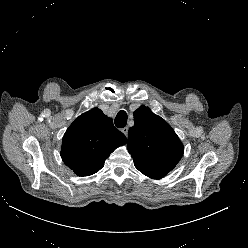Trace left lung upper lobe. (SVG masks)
Instances as JSON below:
<instances>
[{
    "instance_id": "1",
    "label": "left lung upper lobe",
    "mask_w": 248,
    "mask_h": 248,
    "mask_svg": "<svg viewBox=\"0 0 248 248\" xmlns=\"http://www.w3.org/2000/svg\"><path fill=\"white\" fill-rule=\"evenodd\" d=\"M133 115L127 147L134 165L144 175L161 179L183 156V145L171 126L148 107L140 106Z\"/></svg>"
}]
</instances>
